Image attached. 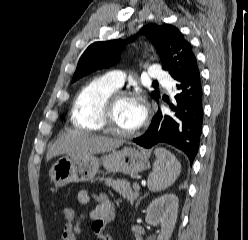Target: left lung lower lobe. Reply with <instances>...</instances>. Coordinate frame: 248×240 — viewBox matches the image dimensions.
Returning <instances> with one entry per match:
<instances>
[{
  "instance_id": "left-lung-lower-lobe-1",
  "label": "left lung lower lobe",
  "mask_w": 248,
  "mask_h": 240,
  "mask_svg": "<svg viewBox=\"0 0 248 240\" xmlns=\"http://www.w3.org/2000/svg\"><path fill=\"white\" fill-rule=\"evenodd\" d=\"M177 81L175 104H169L172 114L159 109L144 135L133 142L145 148L160 143L181 150L193 163L199 149L203 123V90L197 60Z\"/></svg>"
}]
</instances>
